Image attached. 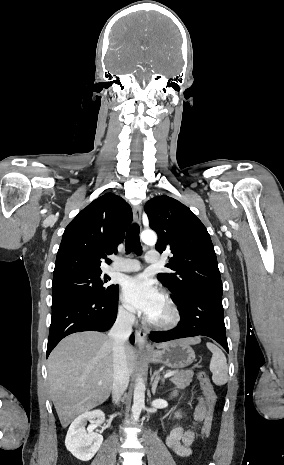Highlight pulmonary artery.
I'll return each instance as SVG.
<instances>
[{
    "label": "pulmonary artery",
    "instance_id": "pulmonary-artery-1",
    "mask_svg": "<svg viewBox=\"0 0 284 465\" xmlns=\"http://www.w3.org/2000/svg\"><path fill=\"white\" fill-rule=\"evenodd\" d=\"M145 260L147 263H160L162 260L161 255L157 250H148L146 253ZM141 265L139 261L133 259H115L109 266V272H136L139 271Z\"/></svg>",
    "mask_w": 284,
    "mask_h": 465
}]
</instances>
